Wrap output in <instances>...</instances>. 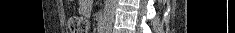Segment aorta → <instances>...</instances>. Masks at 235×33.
Returning a JSON list of instances; mask_svg holds the SVG:
<instances>
[{"mask_svg":"<svg viewBox=\"0 0 235 33\" xmlns=\"http://www.w3.org/2000/svg\"><path fill=\"white\" fill-rule=\"evenodd\" d=\"M117 0H105L103 23L104 28L109 30L114 19Z\"/></svg>","mask_w":235,"mask_h":33,"instance_id":"obj_1","label":"aorta"}]
</instances>
